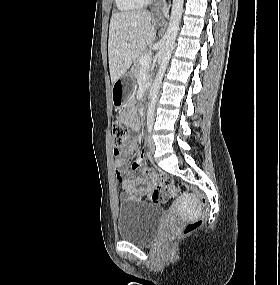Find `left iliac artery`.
Returning <instances> with one entry per match:
<instances>
[{
  "instance_id": "left-iliac-artery-1",
  "label": "left iliac artery",
  "mask_w": 280,
  "mask_h": 285,
  "mask_svg": "<svg viewBox=\"0 0 280 285\" xmlns=\"http://www.w3.org/2000/svg\"><path fill=\"white\" fill-rule=\"evenodd\" d=\"M153 120H154V119H153L152 116L148 117V119H147V128H148V131H149V132H151V130H152Z\"/></svg>"
}]
</instances>
